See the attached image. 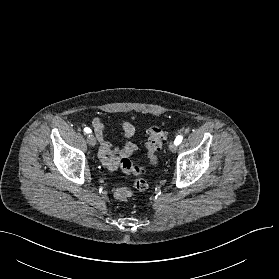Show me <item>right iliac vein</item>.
Instances as JSON below:
<instances>
[{
	"instance_id": "63e3f726",
	"label": "right iliac vein",
	"mask_w": 279,
	"mask_h": 279,
	"mask_svg": "<svg viewBox=\"0 0 279 279\" xmlns=\"http://www.w3.org/2000/svg\"><path fill=\"white\" fill-rule=\"evenodd\" d=\"M87 142H88V144L90 146H92V147L95 146L96 145V138H95V136L93 134H89L87 136Z\"/></svg>"
}]
</instances>
